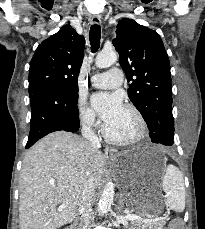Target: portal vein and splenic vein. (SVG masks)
I'll return each mask as SVG.
<instances>
[{
	"mask_svg": "<svg viewBox=\"0 0 205 229\" xmlns=\"http://www.w3.org/2000/svg\"><path fill=\"white\" fill-rule=\"evenodd\" d=\"M127 217H129L130 219H137L138 217L137 216H135V215H127Z\"/></svg>",
	"mask_w": 205,
	"mask_h": 229,
	"instance_id": "1",
	"label": "portal vein and splenic vein"
}]
</instances>
